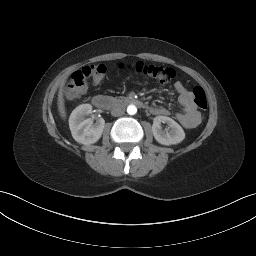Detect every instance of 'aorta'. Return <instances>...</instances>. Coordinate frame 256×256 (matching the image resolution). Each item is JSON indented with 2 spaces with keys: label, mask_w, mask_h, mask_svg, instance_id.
<instances>
[{
  "label": "aorta",
  "mask_w": 256,
  "mask_h": 256,
  "mask_svg": "<svg viewBox=\"0 0 256 256\" xmlns=\"http://www.w3.org/2000/svg\"><path fill=\"white\" fill-rule=\"evenodd\" d=\"M127 113H128L129 115H135V114L137 113V108H136V106H135V105H129V106L127 107Z\"/></svg>",
  "instance_id": "aorta-1"
}]
</instances>
